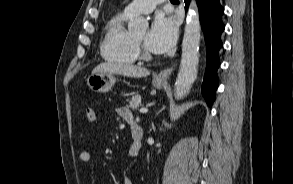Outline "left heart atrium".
<instances>
[{
    "mask_svg": "<svg viewBox=\"0 0 293 184\" xmlns=\"http://www.w3.org/2000/svg\"><path fill=\"white\" fill-rule=\"evenodd\" d=\"M177 27L167 17H156L146 36L145 44L149 51L157 54L167 52L175 43Z\"/></svg>",
    "mask_w": 293,
    "mask_h": 184,
    "instance_id": "obj_1",
    "label": "left heart atrium"
}]
</instances>
